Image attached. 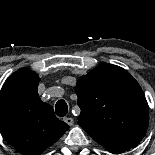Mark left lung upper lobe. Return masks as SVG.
<instances>
[{
	"mask_svg": "<svg viewBox=\"0 0 155 155\" xmlns=\"http://www.w3.org/2000/svg\"><path fill=\"white\" fill-rule=\"evenodd\" d=\"M78 124L106 149L138 144L148 127V104L137 81L123 68L102 63L76 86Z\"/></svg>",
	"mask_w": 155,
	"mask_h": 155,
	"instance_id": "5c2ea615",
	"label": "left lung upper lobe"
}]
</instances>
